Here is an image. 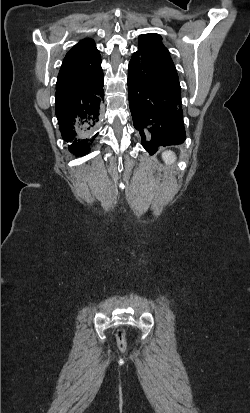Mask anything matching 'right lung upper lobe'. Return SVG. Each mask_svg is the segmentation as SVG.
Wrapping results in <instances>:
<instances>
[{
    "label": "right lung upper lobe",
    "instance_id": "1",
    "mask_svg": "<svg viewBox=\"0 0 250 413\" xmlns=\"http://www.w3.org/2000/svg\"><path fill=\"white\" fill-rule=\"evenodd\" d=\"M101 70V57L93 40L76 44L65 56L56 87L76 86L92 80Z\"/></svg>",
    "mask_w": 250,
    "mask_h": 413
}]
</instances>
